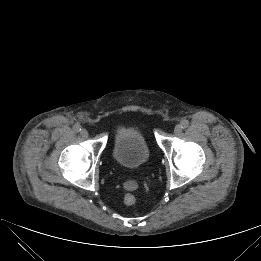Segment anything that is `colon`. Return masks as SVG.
Here are the masks:
<instances>
[{"label": "colon", "mask_w": 261, "mask_h": 261, "mask_svg": "<svg viewBox=\"0 0 261 261\" xmlns=\"http://www.w3.org/2000/svg\"><path fill=\"white\" fill-rule=\"evenodd\" d=\"M123 202L127 206H131L136 202V198L133 195V193L131 192V189L124 194Z\"/></svg>", "instance_id": "colon-1"}]
</instances>
